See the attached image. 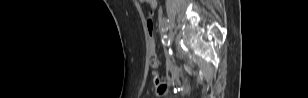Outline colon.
Here are the masks:
<instances>
[{"label": "colon", "instance_id": "obj_1", "mask_svg": "<svg viewBox=\"0 0 308 98\" xmlns=\"http://www.w3.org/2000/svg\"><path fill=\"white\" fill-rule=\"evenodd\" d=\"M147 30L149 34V39L152 45L151 49V57H150V64L153 68L158 66L159 60L155 50V43H154V23L151 18L147 20ZM157 83L159 84L160 92H163L166 89V84L163 83L159 78L156 79Z\"/></svg>", "mask_w": 308, "mask_h": 98}]
</instances>
